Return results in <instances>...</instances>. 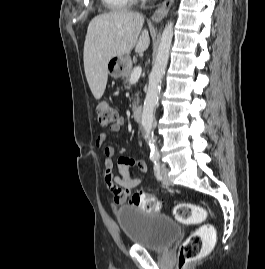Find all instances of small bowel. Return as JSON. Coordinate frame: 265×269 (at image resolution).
Here are the masks:
<instances>
[{
	"label": "small bowel",
	"mask_w": 265,
	"mask_h": 269,
	"mask_svg": "<svg viewBox=\"0 0 265 269\" xmlns=\"http://www.w3.org/2000/svg\"><path fill=\"white\" fill-rule=\"evenodd\" d=\"M123 125L124 120L119 119L116 124L110 127V130L113 133H118ZM106 138V134L101 133L96 140V145L103 149V153L105 155L104 178L107 183L108 190L112 194L113 203L115 205H122L127 201L131 190L142 183L147 173V165L142 159H134L132 157L122 155L117 159L119 176H114L113 169L115 167L114 157L116 156V150L112 146H104ZM132 167H136L139 172L135 177H132L130 174V169Z\"/></svg>",
	"instance_id": "c3829d8e"
}]
</instances>
